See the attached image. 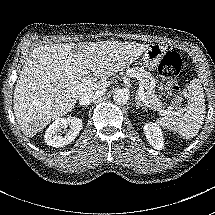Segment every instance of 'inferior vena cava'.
<instances>
[{"label":"inferior vena cava","instance_id":"1","mask_svg":"<svg viewBox=\"0 0 215 215\" xmlns=\"http://www.w3.org/2000/svg\"><path fill=\"white\" fill-rule=\"evenodd\" d=\"M105 93L104 89L97 90L94 93H84L80 98H79V103L83 106L90 105L93 101L96 99L100 98L103 94Z\"/></svg>","mask_w":215,"mask_h":215}]
</instances>
